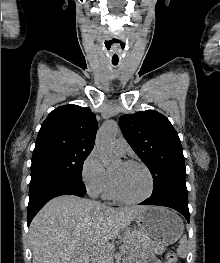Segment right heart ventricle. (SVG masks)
<instances>
[{
	"mask_svg": "<svg viewBox=\"0 0 220 263\" xmlns=\"http://www.w3.org/2000/svg\"><path fill=\"white\" fill-rule=\"evenodd\" d=\"M104 193H105V196H107L109 198L114 197L113 193H112V189H111V182H109V185H108L107 189L104 191Z\"/></svg>",
	"mask_w": 220,
	"mask_h": 263,
	"instance_id": "1",
	"label": "right heart ventricle"
}]
</instances>
